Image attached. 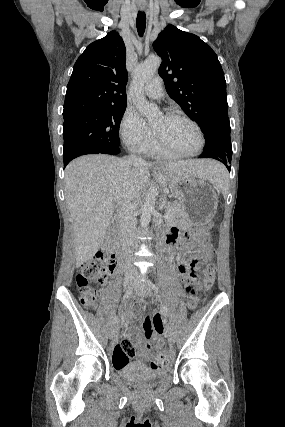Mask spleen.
Returning a JSON list of instances; mask_svg holds the SVG:
<instances>
[{
  "label": "spleen",
  "instance_id": "3e777b00",
  "mask_svg": "<svg viewBox=\"0 0 285 427\" xmlns=\"http://www.w3.org/2000/svg\"><path fill=\"white\" fill-rule=\"evenodd\" d=\"M219 164V163H218ZM211 183L215 184L223 193L228 189V173L224 166L215 167L214 178Z\"/></svg>",
  "mask_w": 285,
  "mask_h": 427
}]
</instances>
